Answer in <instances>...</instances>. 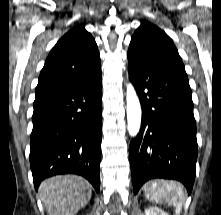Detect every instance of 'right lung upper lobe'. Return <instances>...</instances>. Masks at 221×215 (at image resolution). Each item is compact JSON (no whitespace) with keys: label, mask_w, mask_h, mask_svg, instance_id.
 <instances>
[{"label":"right lung upper lobe","mask_w":221,"mask_h":215,"mask_svg":"<svg viewBox=\"0 0 221 215\" xmlns=\"http://www.w3.org/2000/svg\"><path fill=\"white\" fill-rule=\"evenodd\" d=\"M101 72L100 55L83 25L69 30L52 48L40 73L34 103L86 82Z\"/></svg>","instance_id":"cb5924a9"}]
</instances>
